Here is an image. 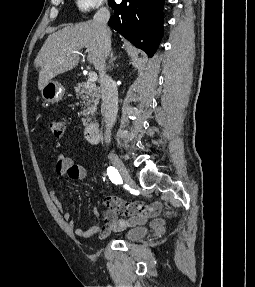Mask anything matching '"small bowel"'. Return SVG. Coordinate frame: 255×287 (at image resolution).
I'll use <instances>...</instances> for the list:
<instances>
[{"mask_svg": "<svg viewBox=\"0 0 255 287\" xmlns=\"http://www.w3.org/2000/svg\"><path fill=\"white\" fill-rule=\"evenodd\" d=\"M55 171L58 175L67 176L72 180H83L86 177V170L82 166L75 164L72 158L66 154H61L58 157ZM50 197L63 219L68 222L71 230L82 238H89L96 234L104 238L111 232H120L132 226L143 225L149 219L156 217L162 210V204L160 202L128 203L118 197L108 196L104 199V203L107 207L104 213V223L102 225L92 226L89 229H83L78 226L77 221L73 219L71 214L65 209L54 186L50 187ZM94 215H98L97 210H94ZM118 215H122L125 218L119 219ZM150 225L158 233H161L164 230L165 221L163 219H153Z\"/></svg>", "mask_w": 255, "mask_h": 287, "instance_id": "1", "label": "small bowel"}]
</instances>
